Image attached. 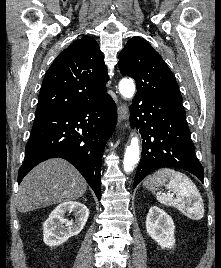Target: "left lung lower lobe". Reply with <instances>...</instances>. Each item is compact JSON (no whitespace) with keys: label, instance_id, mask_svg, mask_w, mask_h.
<instances>
[{"label":"left lung lower lobe","instance_id":"left-lung-lower-lobe-1","mask_svg":"<svg viewBox=\"0 0 221 268\" xmlns=\"http://www.w3.org/2000/svg\"><path fill=\"white\" fill-rule=\"evenodd\" d=\"M131 125L142 136V155L133 187L157 168L170 166L189 171L203 182V167L182 103L136 95L130 106Z\"/></svg>","mask_w":221,"mask_h":268}]
</instances>
